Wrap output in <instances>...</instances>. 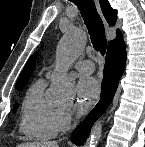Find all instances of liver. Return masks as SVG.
I'll return each instance as SVG.
<instances>
[{"instance_id": "6515ba94", "label": "liver", "mask_w": 145, "mask_h": 147, "mask_svg": "<svg viewBox=\"0 0 145 147\" xmlns=\"http://www.w3.org/2000/svg\"><path fill=\"white\" fill-rule=\"evenodd\" d=\"M17 147H59V146L55 141H47V142H27V143L19 144Z\"/></svg>"}]
</instances>
